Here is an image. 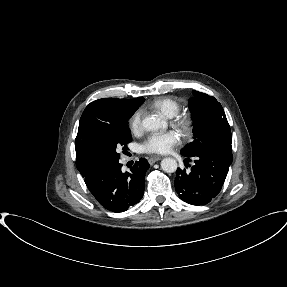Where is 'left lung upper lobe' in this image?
<instances>
[{
	"mask_svg": "<svg viewBox=\"0 0 287 287\" xmlns=\"http://www.w3.org/2000/svg\"><path fill=\"white\" fill-rule=\"evenodd\" d=\"M193 95L189 104L194 126L193 141L181 150V154L193 156L211 147L231 145V130L221 104L205 93L193 90Z\"/></svg>",
	"mask_w": 287,
	"mask_h": 287,
	"instance_id": "obj_1",
	"label": "left lung upper lobe"
}]
</instances>
